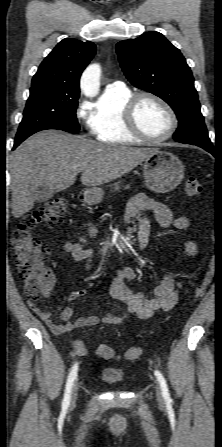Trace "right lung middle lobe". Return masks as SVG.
Here are the masks:
<instances>
[{
    "instance_id": "obj_1",
    "label": "right lung middle lobe",
    "mask_w": 222,
    "mask_h": 447,
    "mask_svg": "<svg viewBox=\"0 0 222 447\" xmlns=\"http://www.w3.org/2000/svg\"><path fill=\"white\" fill-rule=\"evenodd\" d=\"M78 98L79 95H66L49 86L31 88L15 143L20 144L30 135L45 129L78 131Z\"/></svg>"
}]
</instances>
